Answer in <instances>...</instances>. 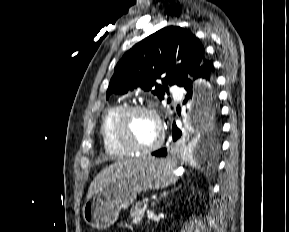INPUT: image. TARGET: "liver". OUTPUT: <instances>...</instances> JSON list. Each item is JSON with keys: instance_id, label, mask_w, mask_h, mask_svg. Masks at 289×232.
<instances>
[{"instance_id": "liver-1", "label": "liver", "mask_w": 289, "mask_h": 232, "mask_svg": "<svg viewBox=\"0 0 289 232\" xmlns=\"http://www.w3.org/2000/svg\"><path fill=\"white\" fill-rule=\"evenodd\" d=\"M143 161L144 159H131L112 164L103 169L91 182L87 193V199L92 197L98 191L102 190L114 179L130 172L135 166L140 165Z\"/></svg>"}]
</instances>
